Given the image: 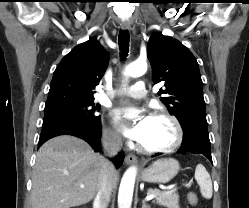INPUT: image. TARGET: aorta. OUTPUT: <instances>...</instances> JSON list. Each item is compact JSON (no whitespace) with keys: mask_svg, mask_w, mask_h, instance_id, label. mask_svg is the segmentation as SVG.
<instances>
[{"mask_svg":"<svg viewBox=\"0 0 249 208\" xmlns=\"http://www.w3.org/2000/svg\"><path fill=\"white\" fill-rule=\"evenodd\" d=\"M147 71L145 61H135L127 66L125 75L128 77H140ZM134 117V114L129 115ZM137 174V168L132 166L124 173L118 192V208H131L134 184Z\"/></svg>","mask_w":249,"mask_h":208,"instance_id":"1","label":"aorta"}]
</instances>
